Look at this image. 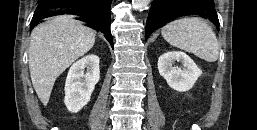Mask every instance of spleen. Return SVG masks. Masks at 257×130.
<instances>
[{
  "label": "spleen",
  "instance_id": "1",
  "mask_svg": "<svg viewBox=\"0 0 257 130\" xmlns=\"http://www.w3.org/2000/svg\"><path fill=\"white\" fill-rule=\"evenodd\" d=\"M163 38L172 46L215 62L219 57V44L211 27L198 17H186L170 22L161 30Z\"/></svg>",
  "mask_w": 257,
  "mask_h": 130
}]
</instances>
